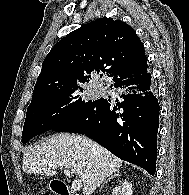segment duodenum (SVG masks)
Masks as SVG:
<instances>
[{
	"instance_id": "obj_1",
	"label": "duodenum",
	"mask_w": 189,
	"mask_h": 195,
	"mask_svg": "<svg viewBox=\"0 0 189 195\" xmlns=\"http://www.w3.org/2000/svg\"><path fill=\"white\" fill-rule=\"evenodd\" d=\"M53 191L56 195H75L68 190L62 181L58 180L53 183Z\"/></svg>"
}]
</instances>
